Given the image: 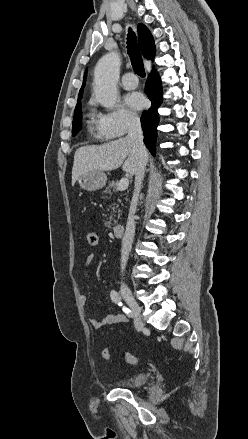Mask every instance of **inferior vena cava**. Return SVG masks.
<instances>
[{
    "instance_id": "inferior-vena-cava-1",
    "label": "inferior vena cava",
    "mask_w": 248,
    "mask_h": 439,
    "mask_svg": "<svg viewBox=\"0 0 248 439\" xmlns=\"http://www.w3.org/2000/svg\"><path fill=\"white\" fill-rule=\"evenodd\" d=\"M127 138L133 142L139 154V162H138L137 170L135 172V189L129 210L126 231L122 239V248H121L122 272L125 270L135 235V212H136L139 193L141 190L142 181L144 178L145 169L148 161L147 150L143 143V131H142L140 120L137 117H130L128 120Z\"/></svg>"
}]
</instances>
